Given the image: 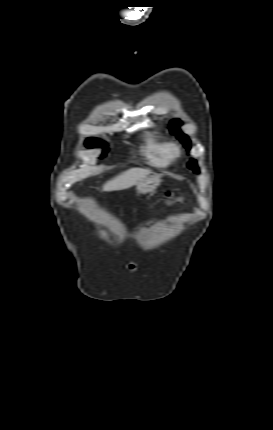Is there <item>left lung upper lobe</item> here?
<instances>
[{"instance_id":"5c2ea615","label":"left lung upper lobe","mask_w":273,"mask_h":430,"mask_svg":"<svg viewBox=\"0 0 273 430\" xmlns=\"http://www.w3.org/2000/svg\"><path fill=\"white\" fill-rule=\"evenodd\" d=\"M181 125V121L178 119H175L173 121H171L170 123V131L171 133L175 134L177 136V138L183 143V145L186 147L187 150H190V140L188 139V136L183 134L180 129L179 126ZM188 167L193 170L196 173H199V169L197 166V163L194 159H192L189 164Z\"/></svg>"}]
</instances>
